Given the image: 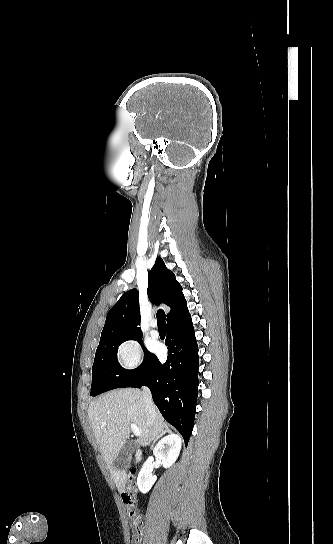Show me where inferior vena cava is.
Returning a JSON list of instances; mask_svg holds the SVG:
<instances>
[{
  "mask_svg": "<svg viewBox=\"0 0 333 544\" xmlns=\"http://www.w3.org/2000/svg\"><path fill=\"white\" fill-rule=\"evenodd\" d=\"M142 396L145 410L147 413L148 423L153 424L156 417V407L153 403L151 392L147 387L143 388Z\"/></svg>",
  "mask_w": 333,
  "mask_h": 544,
  "instance_id": "1",
  "label": "inferior vena cava"
}]
</instances>
